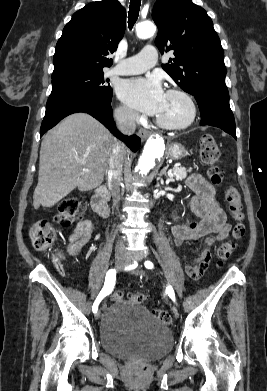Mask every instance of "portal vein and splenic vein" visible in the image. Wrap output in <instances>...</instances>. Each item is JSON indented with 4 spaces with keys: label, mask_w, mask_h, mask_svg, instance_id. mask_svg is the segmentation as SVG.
<instances>
[{
    "label": "portal vein and splenic vein",
    "mask_w": 267,
    "mask_h": 391,
    "mask_svg": "<svg viewBox=\"0 0 267 391\" xmlns=\"http://www.w3.org/2000/svg\"><path fill=\"white\" fill-rule=\"evenodd\" d=\"M83 171H84V172H87V171H88V169L84 168V169H83Z\"/></svg>",
    "instance_id": "1"
}]
</instances>
